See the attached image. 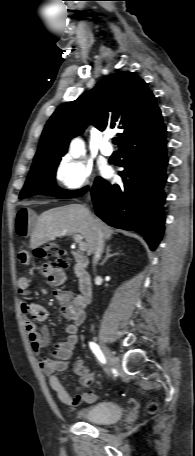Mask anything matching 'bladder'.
Here are the masks:
<instances>
[{"mask_svg": "<svg viewBox=\"0 0 195 456\" xmlns=\"http://www.w3.org/2000/svg\"><path fill=\"white\" fill-rule=\"evenodd\" d=\"M122 407L115 402L102 401L78 411L77 416L92 424H111L122 417Z\"/></svg>", "mask_w": 195, "mask_h": 456, "instance_id": "1", "label": "bladder"}]
</instances>
